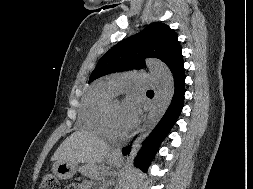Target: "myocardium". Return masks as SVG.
Listing matches in <instances>:
<instances>
[{
  "mask_svg": "<svg viewBox=\"0 0 253 189\" xmlns=\"http://www.w3.org/2000/svg\"><path fill=\"white\" fill-rule=\"evenodd\" d=\"M114 101L115 100H113V99L109 100L104 107V110H103L104 131L107 135H109L111 137L127 138L130 135V129H128L124 132H118V131H115L110 124V108H111V104Z\"/></svg>",
  "mask_w": 253,
  "mask_h": 189,
  "instance_id": "obj_1",
  "label": "myocardium"
}]
</instances>
